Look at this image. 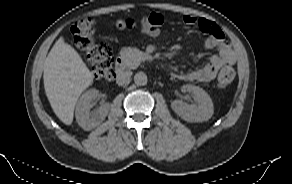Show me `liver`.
I'll use <instances>...</instances> for the list:
<instances>
[{"instance_id": "6515ba94", "label": "liver", "mask_w": 292, "mask_h": 184, "mask_svg": "<svg viewBox=\"0 0 292 184\" xmlns=\"http://www.w3.org/2000/svg\"><path fill=\"white\" fill-rule=\"evenodd\" d=\"M44 88L56 116L66 125L74 117L81 93L93 83V75L77 51L60 37L44 62Z\"/></svg>"}]
</instances>
